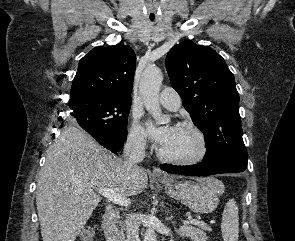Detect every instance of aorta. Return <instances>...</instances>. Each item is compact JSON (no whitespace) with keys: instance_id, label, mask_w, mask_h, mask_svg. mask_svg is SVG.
Here are the masks:
<instances>
[{"instance_id":"obj_1","label":"aorta","mask_w":295,"mask_h":241,"mask_svg":"<svg viewBox=\"0 0 295 241\" xmlns=\"http://www.w3.org/2000/svg\"><path fill=\"white\" fill-rule=\"evenodd\" d=\"M163 81V73L155 65L148 66L142 74L139 91L143 97L146 110L153 116L157 124H166L170 118L162 114L159 105L160 86ZM144 241H157L155 229L150 226L144 233Z\"/></svg>"}]
</instances>
